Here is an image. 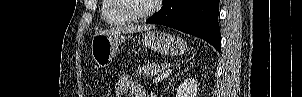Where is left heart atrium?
I'll use <instances>...</instances> for the list:
<instances>
[{
    "mask_svg": "<svg viewBox=\"0 0 302 97\" xmlns=\"http://www.w3.org/2000/svg\"><path fill=\"white\" fill-rule=\"evenodd\" d=\"M159 1H161V0H155V2H159Z\"/></svg>",
    "mask_w": 302,
    "mask_h": 97,
    "instance_id": "obj_1",
    "label": "left heart atrium"
}]
</instances>
